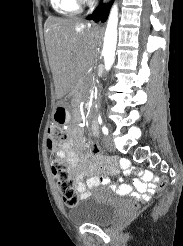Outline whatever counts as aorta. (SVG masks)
Here are the masks:
<instances>
[{
	"instance_id": "762f6f07",
	"label": "aorta",
	"mask_w": 183,
	"mask_h": 246,
	"mask_svg": "<svg viewBox=\"0 0 183 246\" xmlns=\"http://www.w3.org/2000/svg\"><path fill=\"white\" fill-rule=\"evenodd\" d=\"M117 26H118V7L117 4L112 6L107 22V27L104 36V45L102 55L106 71L112 67L115 59V50L117 44Z\"/></svg>"
}]
</instances>
